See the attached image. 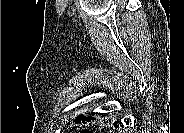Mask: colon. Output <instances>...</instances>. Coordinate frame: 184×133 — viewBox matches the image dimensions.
Here are the masks:
<instances>
[{
    "label": "colon",
    "mask_w": 184,
    "mask_h": 133,
    "mask_svg": "<svg viewBox=\"0 0 184 133\" xmlns=\"http://www.w3.org/2000/svg\"><path fill=\"white\" fill-rule=\"evenodd\" d=\"M84 133H90V131H88V130H85V131H83Z\"/></svg>",
    "instance_id": "1"
}]
</instances>
